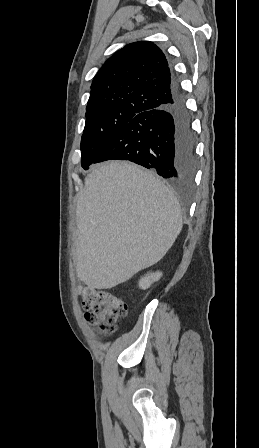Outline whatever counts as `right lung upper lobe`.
<instances>
[{"instance_id":"obj_1","label":"right lung upper lobe","mask_w":259,"mask_h":448,"mask_svg":"<svg viewBox=\"0 0 259 448\" xmlns=\"http://www.w3.org/2000/svg\"><path fill=\"white\" fill-rule=\"evenodd\" d=\"M87 113L145 112L172 100V74L164 53L149 41L131 43L101 67L91 85Z\"/></svg>"}]
</instances>
